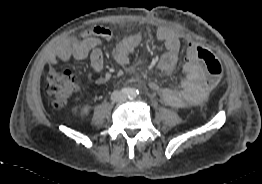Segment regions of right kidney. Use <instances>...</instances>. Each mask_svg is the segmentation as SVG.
<instances>
[{
    "mask_svg": "<svg viewBox=\"0 0 262 184\" xmlns=\"http://www.w3.org/2000/svg\"><path fill=\"white\" fill-rule=\"evenodd\" d=\"M88 111H89V107L87 106V107H85L84 109H83V112L85 113V114H87L88 113Z\"/></svg>",
    "mask_w": 262,
    "mask_h": 184,
    "instance_id": "1",
    "label": "right kidney"
}]
</instances>
